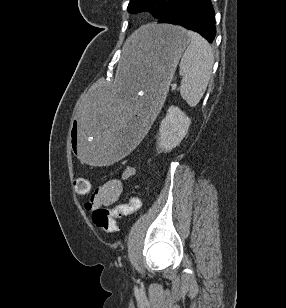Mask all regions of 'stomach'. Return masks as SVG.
Instances as JSON below:
<instances>
[{
	"label": "stomach",
	"mask_w": 286,
	"mask_h": 308,
	"mask_svg": "<svg viewBox=\"0 0 286 308\" xmlns=\"http://www.w3.org/2000/svg\"><path fill=\"white\" fill-rule=\"evenodd\" d=\"M122 44L119 67L105 86H97L75 113L70 149L86 168H107L143 144L154 107H161L182 53L187 31L170 24H149Z\"/></svg>",
	"instance_id": "1"
}]
</instances>
